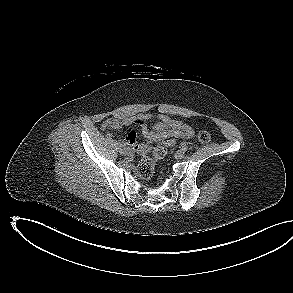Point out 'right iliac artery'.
Wrapping results in <instances>:
<instances>
[{
	"label": "right iliac artery",
	"instance_id": "1",
	"mask_svg": "<svg viewBox=\"0 0 293 293\" xmlns=\"http://www.w3.org/2000/svg\"><path fill=\"white\" fill-rule=\"evenodd\" d=\"M115 145H117L118 147H119V146H122V144L119 143V142H117V141H115Z\"/></svg>",
	"mask_w": 293,
	"mask_h": 293
}]
</instances>
